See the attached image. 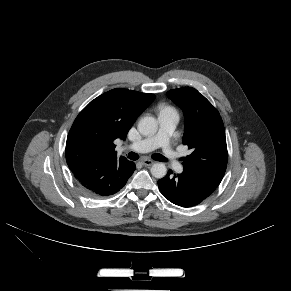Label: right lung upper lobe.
<instances>
[{
    "mask_svg": "<svg viewBox=\"0 0 291 291\" xmlns=\"http://www.w3.org/2000/svg\"><path fill=\"white\" fill-rule=\"evenodd\" d=\"M154 97L116 88L92 100L79 113L67 137L66 161L70 170L96 159L117 158L114 141L125 140L134 121Z\"/></svg>",
    "mask_w": 291,
    "mask_h": 291,
    "instance_id": "cb5924a9",
    "label": "right lung upper lobe"
}]
</instances>
